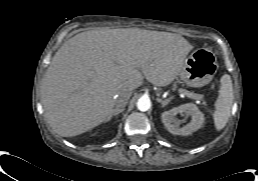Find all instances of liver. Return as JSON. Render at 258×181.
<instances>
[{
    "mask_svg": "<svg viewBox=\"0 0 258 181\" xmlns=\"http://www.w3.org/2000/svg\"><path fill=\"white\" fill-rule=\"evenodd\" d=\"M192 49L184 37L168 32L102 28L77 34L58 49L42 82L48 124L72 137L106 122L116 100L144 78L170 84Z\"/></svg>",
    "mask_w": 258,
    "mask_h": 181,
    "instance_id": "liver-1",
    "label": "liver"
}]
</instances>
